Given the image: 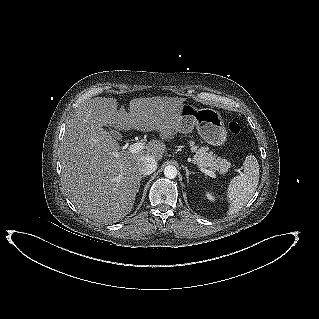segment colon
<instances>
[{"label": "colon", "instance_id": "colon-1", "mask_svg": "<svg viewBox=\"0 0 319 319\" xmlns=\"http://www.w3.org/2000/svg\"><path fill=\"white\" fill-rule=\"evenodd\" d=\"M228 129L233 134H238L241 131V124L238 121H232L228 125Z\"/></svg>", "mask_w": 319, "mask_h": 319}]
</instances>
